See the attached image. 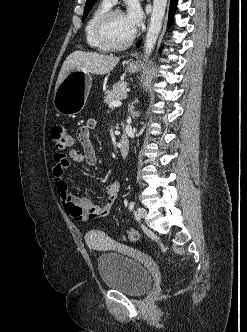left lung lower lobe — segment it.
Listing matches in <instances>:
<instances>
[{"label":"left lung lower lobe","mask_w":247,"mask_h":332,"mask_svg":"<svg viewBox=\"0 0 247 332\" xmlns=\"http://www.w3.org/2000/svg\"><path fill=\"white\" fill-rule=\"evenodd\" d=\"M177 9V0H171L170 2V10H169V21L171 22L173 19V15L175 10Z\"/></svg>","instance_id":"obj_1"}]
</instances>
